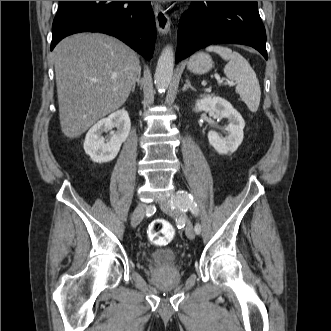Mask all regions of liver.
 <instances>
[{"mask_svg":"<svg viewBox=\"0 0 331 331\" xmlns=\"http://www.w3.org/2000/svg\"><path fill=\"white\" fill-rule=\"evenodd\" d=\"M59 119L63 134L75 138L127 100L141 71L137 54L99 33H79L53 50Z\"/></svg>","mask_w":331,"mask_h":331,"instance_id":"1","label":"liver"}]
</instances>
